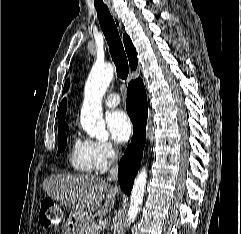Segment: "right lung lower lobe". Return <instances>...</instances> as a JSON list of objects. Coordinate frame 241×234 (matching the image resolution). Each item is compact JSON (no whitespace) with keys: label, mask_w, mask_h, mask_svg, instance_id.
Listing matches in <instances>:
<instances>
[{"label":"right lung lower lobe","mask_w":241,"mask_h":234,"mask_svg":"<svg viewBox=\"0 0 241 234\" xmlns=\"http://www.w3.org/2000/svg\"><path fill=\"white\" fill-rule=\"evenodd\" d=\"M126 109L133 123V137L120 161L118 180L121 189L129 195L140 167L146 140L148 105L146 91L140 78L128 84Z\"/></svg>","instance_id":"1"}]
</instances>
